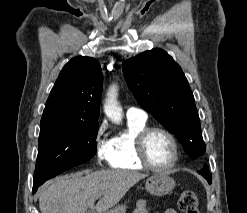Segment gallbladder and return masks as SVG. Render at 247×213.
Returning a JSON list of instances; mask_svg holds the SVG:
<instances>
[{
	"label": "gallbladder",
	"mask_w": 247,
	"mask_h": 213,
	"mask_svg": "<svg viewBox=\"0 0 247 213\" xmlns=\"http://www.w3.org/2000/svg\"><path fill=\"white\" fill-rule=\"evenodd\" d=\"M86 213H94V211L92 209L86 211Z\"/></svg>",
	"instance_id": "gallbladder-1"
}]
</instances>
